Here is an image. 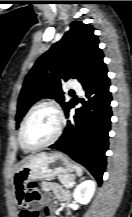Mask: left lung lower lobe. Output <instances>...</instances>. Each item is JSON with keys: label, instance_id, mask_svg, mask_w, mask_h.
I'll use <instances>...</instances> for the list:
<instances>
[{"label": "left lung lower lobe", "instance_id": "1", "mask_svg": "<svg viewBox=\"0 0 132 217\" xmlns=\"http://www.w3.org/2000/svg\"><path fill=\"white\" fill-rule=\"evenodd\" d=\"M82 85L85 90L83 106L76 110V115L67 122L62 136L49 148L66 153L85 166L101 184L106 167L105 152L109 145L108 133L112 116L110 81L105 63ZM73 106L74 103L70 108ZM69 109L65 112L66 117L69 116Z\"/></svg>", "mask_w": 132, "mask_h": 217}]
</instances>
